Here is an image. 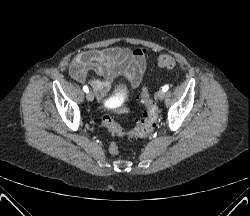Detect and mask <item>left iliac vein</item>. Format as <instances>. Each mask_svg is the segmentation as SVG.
<instances>
[{
  "mask_svg": "<svg viewBox=\"0 0 250 216\" xmlns=\"http://www.w3.org/2000/svg\"><path fill=\"white\" fill-rule=\"evenodd\" d=\"M157 97H158V99H160V100L164 99V97H165V92H164L163 90H159V91L157 92Z\"/></svg>",
  "mask_w": 250,
  "mask_h": 216,
  "instance_id": "left-iliac-vein-1",
  "label": "left iliac vein"
}]
</instances>
